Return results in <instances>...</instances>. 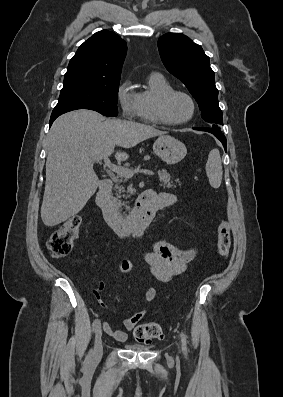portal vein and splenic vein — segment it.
<instances>
[{
	"mask_svg": "<svg viewBox=\"0 0 283 397\" xmlns=\"http://www.w3.org/2000/svg\"><path fill=\"white\" fill-rule=\"evenodd\" d=\"M101 158H97L95 160V162L100 163L101 162ZM104 161V167L108 168L109 170L115 172L117 175L125 177V178H131L135 173H143V174H147L150 176L154 175V172L151 170H147V169H141V168H136V169H129V168H125L122 166H118L113 164L109 157L106 156L105 158H103Z\"/></svg>",
	"mask_w": 283,
	"mask_h": 397,
	"instance_id": "18ae733b",
	"label": "portal vein and splenic vein"
}]
</instances>
